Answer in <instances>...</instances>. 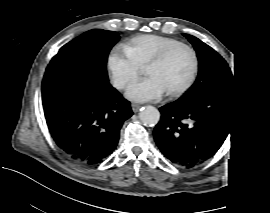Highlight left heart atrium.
<instances>
[{
  "label": "left heart atrium",
  "instance_id": "1",
  "mask_svg": "<svg viewBox=\"0 0 270 213\" xmlns=\"http://www.w3.org/2000/svg\"><path fill=\"white\" fill-rule=\"evenodd\" d=\"M164 88L156 77L134 84L128 91L127 96L136 101H154L162 96Z\"/></svg>",
  "mask_w": 270,
  "mask_h": 213
}]
</instances>
